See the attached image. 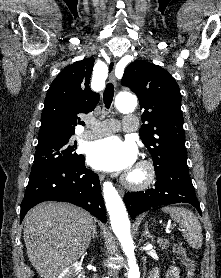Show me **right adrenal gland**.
I'll return each instance as SVG.
<instances>
[{
    "mask_svg": "<svg viewBox=\"0 0 221 278\" xmlns=\"http://www.w3.org/2000/svg\"><path fill=\"white\" fill-rule=\"evenodd\" d=\"M97 237H98L97 231L95 230V231L93 232L92 238H97Z\"/></svg>",
    "mask_w": 221,
    "mask_h": 278,
    "instance_id": "2a0ac1e0",
    "label": "right adrenal gland"
}]
</instances>
